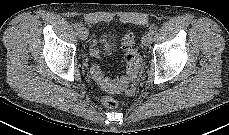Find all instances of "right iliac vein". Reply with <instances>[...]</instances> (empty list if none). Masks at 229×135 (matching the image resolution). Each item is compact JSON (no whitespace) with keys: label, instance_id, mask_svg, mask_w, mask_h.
<instances>
[{"label":"right iliac vein","instance_id":"right-iliac-vein-1","mask_svg":"<svg viewBox=\"0 0 229 135\" xmlns=\"http://www.w3.org/2000/svg\"><path fill=\"white\" fill-rule=\"evenodd\" d=\"M78 35L81 40H86L88 38L89 32L87 29L82 28L81 30H79Z\"/></svg>","mask_w":229,"mask_h":135}]
</instances>
